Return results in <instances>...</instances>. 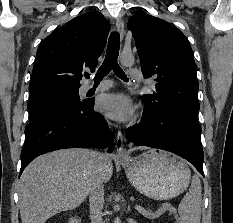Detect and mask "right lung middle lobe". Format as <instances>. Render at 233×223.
Returning a JSON list of instances; mask_svg holds the SVG:
<instances>
[{"label":"right lung middle lobe","mask_w":233,"mask_h":223,"mask_svg":"<svg viewBox=\"0 0 233 223\" xmlns=\"http://www.w3.org/2000/svg\"><path fill=\"white\" fill-rule=\"evenodd\" d=\"M78 88H53L31 94L28 104L30 122L52 114L63 113L79 107Z\"/></svg>","instance_id":"dd1d6c3e"}]
</instances>
